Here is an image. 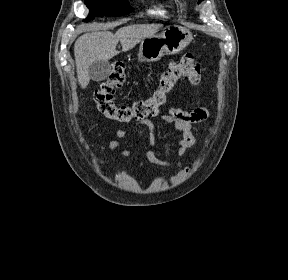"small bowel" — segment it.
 I'll list each match as a JSON object with an SVG mask.
<instances>
[{"instance_id": "c3829d8e", "label": "small bowel", "mask_w": 288, "mask_h": 280, "mask_svg": "<svg viewBox=\"0 0 288 280\" xmlns=\"http://www.w3.org/2000/svg\"><path fill=\"white\" fill-rule=\"evenodd\" d=\"M208 110L204 107H197L191 111H185L180 108L170 107L166 114H162L159 119L165 123L171 124L174 129L179 133L180 139L177 143V151L179 157L183 158L184 155L192 149L195 144V137L192 132L193 124L205 121L208 118ZM133 125H144L146 126L150 133H154V123L149 119L139 120L133 123ZM128 134V128H120L116 132L118 138H124ZM110 151L114 152L120 150L124 157H129L130 152L122 146V144L115 140L109 144ZM147 158L160 166L170 167L171 163L162 162L157 159L152 151L146 152ZM178 166H182V161L178 163ZM188 172L187 168L180 171L178 176L170 177L169 181L174 183L179 179L183 178Z\"/></svg>"}]
</instances>
